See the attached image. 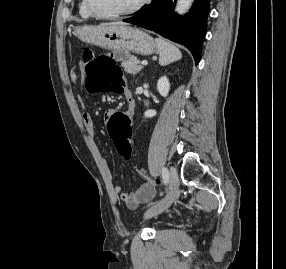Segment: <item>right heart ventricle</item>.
<instances>
[{
  "mask_svg": "<svg viewBox=\"0 0 286 269\" xmlns=\"http://www.w3.org/2000/svg\"><path fill=\"white\" fill-rule=\"evenodd\" d=\"M79 14L83 18H90L91 17L90 13L86 9L85 0H80V3H79Z\"/></svg>",
  "mask_w": 286,
  "mask_h": 269,
  "instance_id": "e07e8e85",
  "label": "right heart ventricle"
}]
</instances>
